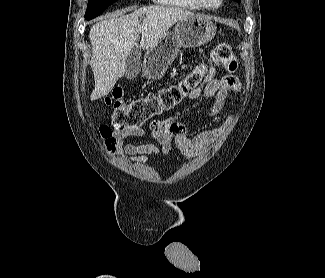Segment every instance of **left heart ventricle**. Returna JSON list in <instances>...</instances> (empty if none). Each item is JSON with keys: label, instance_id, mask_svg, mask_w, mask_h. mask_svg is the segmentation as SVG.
Wrapping results in <instances>:
<instances>
[{"label": "left heart ventricle", "instance_id": "left-heart-ventricle-1", "mask_svg": "<svg viewBox=\"0 0 325 278\" xmlns=\"http://www.w3.org/2000/svg\"><path fill=\"white\" fill-rule=\"evenodd\" d=\"M204 2L207 4V5H216L219 0H204Z\"/></svg>", "mask_w": 325, "mask_h": 278}]
</instances>
